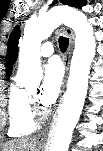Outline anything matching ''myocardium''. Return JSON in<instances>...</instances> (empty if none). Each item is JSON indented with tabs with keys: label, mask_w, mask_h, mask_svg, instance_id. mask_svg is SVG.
Listing matches in <instances>:
<instances>
[{
	"label": "myocardium",
	"mask_w": 103,
	"mask_h": 151,
	"mask_svg": "<svg viewBox=\"0 0 103 151\" xmlns=\"http://www.w3.org/2000/svg\"><path fill=\"white\" fill-rule=\"evenodd\" d=\"M33 115L36 121H42L46 118L47 113L44 110H41L39 108H35L33 110Z\"/></svg>",
	"instance_id": "myocardium-1"
}]
</instances>
